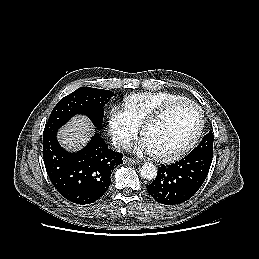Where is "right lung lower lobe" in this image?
<instances>
[{
	"mask_svg": "<svg viewBox=\"0 0 259 259\" xmlns=\"http://www.w3.org/2000/svg\"><path fill=\"white\" fill-rule=\"evenodd\" d=\"M56 133L43 138V159L57 191L76 204H90L109 188L112 170L123 163V155L108 148L98 132L77 152H68Z\"/></svg>",
	"mask_w": 259,
	"mask_h": 259,
	"instance_id": "right-lung-lower-lobe-1",
	"label": "right lung lower lobe"
}]
</instances>
